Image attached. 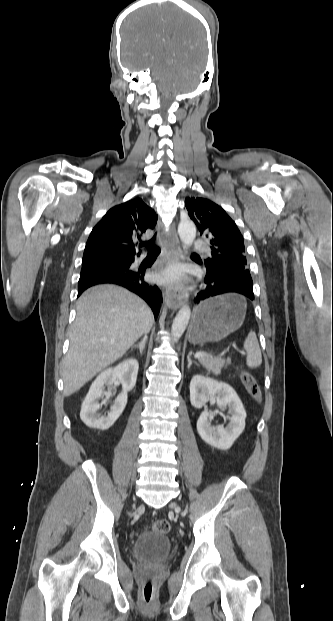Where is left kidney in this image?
<instances>
[{
    "mask_svg": "<svg viewBox=\"0 0 333 621\" xmlns=\"http://www.w3.org/2000/svg\"><path fill=\"white\" fill-rule=\"evenodd\" d=\"M209 399H214L219 408H228L230 423L212 427L209 420L213 413L204 411L197 421V431L200 437L210 446L227 450L240 436L245 428L246 411L235 390L224 382L212 378L196 375L190 382V401L195 408L203 407Z\"/></svg>",
    "mask_w": 333,
    "mask_h": 621,
    "instance_id": "obj_1",
    "label": "left kidney"
}]
</instances>
